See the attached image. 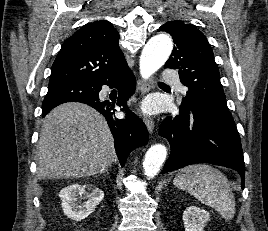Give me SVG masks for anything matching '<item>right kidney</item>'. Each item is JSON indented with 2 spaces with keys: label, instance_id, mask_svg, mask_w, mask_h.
I'll use <instances>...</instances> for the list:
<instances>
[{
  "label": "right kidney",
  "instance_id": "1",
  "mask_svg": "<svg viewBox=\"0 0 268 231\" xmlns=\"http://www.w3.org/2000/svg\"><path fill=\"white\" fill-rule=\"evenodd\" d=\"M82 196L87 201L78 202V198ZM59 197L64 214L73 220L81 221L94 212L103 200L104 193L92 184H71L60 191Z\"/></svg>",
  "mask_w": 268,
  "mask_h": 231
}]
</instances>
